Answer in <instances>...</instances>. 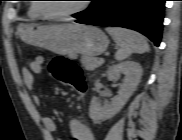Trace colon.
Returning <instances> with one entry per match:
<instances>
[{"mask_svg": "<svg viewBox=\"0 0 182 140\" xmlns=\"http://www.w3.org/2000/svg\"><path fill=\"white\" fill-rule=\"evenodd\" d=\"M52 73L67 83L81 96L86 91V85L81 73V69L72 61L66 59H57L51 65Z\"/></svg>", "mask_w": 182, "mask_h": 140, "instance_id": "colon-1", "label": "colon"}]
</instances>
